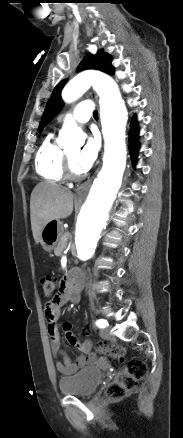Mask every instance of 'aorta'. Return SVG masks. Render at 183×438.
<instances>
[{"mask_svg":"<svg viewBox=\"0 0 183 438\" xmlns=\"http://www.w3.org/2000/svg\"><path fill=\"white\" fill-rule=\"evenodd\" d=\"M91 86L100 97L105 154L102 170L94 180L76 220L75 244L77 258L81 261L91 259L95 253L121 186L126 165L125 130L128 113L115 81L97 72H82L67 83L62 98L65 102H73ZM79 131L76 122L67 116L59 133V146L66 147Z\"/></svg>","mask_w":183,"mask_h":438,"instance_id":"762f6f07","label":"aorta"}]
</instances>
